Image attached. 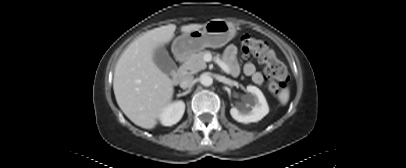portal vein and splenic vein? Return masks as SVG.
Wrapping results in <instances>:
<instances>
[{
    "label": "portal vein and splenic vein",
    "mask_w": 406,
    "mask_h": 168,
    "mask_svg": "<svg viewBox=\"0 0 406 168\" xmlns=\"http://www.w3.org/2000/svg\"><path fill=\"white\" fill-rule=\"evenodd\" d=\"M216 63L220 66V68L224 72L230 73V70H229L228 66L223 61H221L219 58L216 59Z\"/></svg>",
    "instance_id": "obj_1"
}]
</instances>
